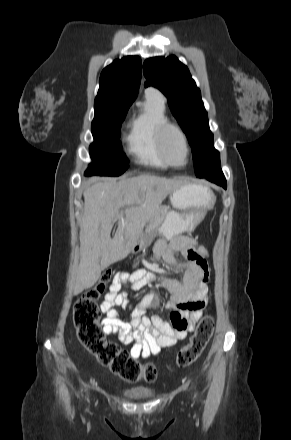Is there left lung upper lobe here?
<instances>
[{
  "mask_svg": "<svg viewBox=\"0 0 291 440\" xmlns=\"http://www.w3.org/2000/svg\"><path fill=\"white\" fill-rule=\"evenodd\" d=\"M145 87L154 86L168 98V105L192 147L196 176L202 178L220 168V154L201 99L188 68L175 56L149 58L143 65Z\"/></svg>",
  "mask_w": 291,
  "mask_h": 440,
  "instance_id": "obj_1",
  "label": "left lung upper lobe"
}]
</instances>
